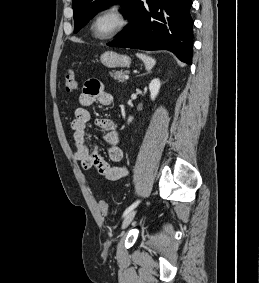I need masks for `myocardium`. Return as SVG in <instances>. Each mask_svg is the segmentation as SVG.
<instances>
[{"label":"myocardium","instance_id":"1","mask_svg":"<svg viewBox=\"0 0 259 283\" xmlns=\"http://www.w3.org/2000/svg\"><path fill=\"white\" fill-rule=\"evenodd\" d=\"M107 14H113L117 19V25L114 27L113 30H111L108 34L105 35H97L94 32V26L95 23L104 15ZM128 24V15L120 4L112 3L103 6L100 8L92 17L90 24H89V30L93 38L100 40V41H106L114 38L119 33H121Z\"/></svg>","mask_w":259,"mask_h":283}]
</instances>
